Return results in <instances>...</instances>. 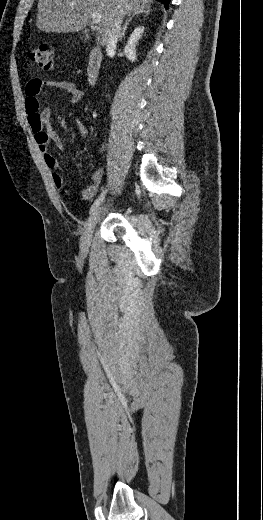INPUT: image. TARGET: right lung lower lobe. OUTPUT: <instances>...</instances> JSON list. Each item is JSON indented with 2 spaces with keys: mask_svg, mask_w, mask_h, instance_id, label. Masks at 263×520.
I'll return each mask as SVG.
<instances>
[{
  "mask_svg": "<svg viewBox=\"0 0 263 520\" xmlns=\"http://www.w3.org/2000/svg\"><path fill=\"white\" fill-rule=\"evenodd\" d=\"M158 1L162 2L166 8L168 7V4L170 2V0H158Z\"/></svg>",
  "mask_w": 263,
  "mask_h": 520,
  "instance_id": "1",
  "label": "right lung lower lobe"
}]
</instances>
